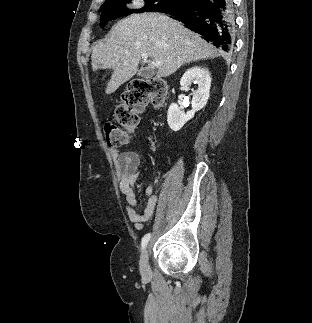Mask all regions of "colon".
I'll list each match as a JSON object with an SVG mask.
<instances>
[{"instance_id":"5ec220e1","label":"colon","mask_w":312,"mask_h":323,"mask_svg":"<svg viewBox=\"0 0 312 323\" xmlns=\"http://www.w3.org/2000/svg\"><path fill=\"white\" fill-rule=\"evenodd\" d=\"M167 96L161 77H134L129 80L113 114L115 122L108 123L104 138L108 146L122 147L129 143L139 114L148 105L159 106Z\"/></svg>"}]
</instances>
